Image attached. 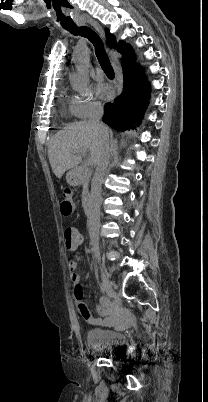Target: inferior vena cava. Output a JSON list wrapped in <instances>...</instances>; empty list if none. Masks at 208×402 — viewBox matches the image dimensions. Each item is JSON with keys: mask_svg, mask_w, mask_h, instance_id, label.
<instances>
[{"mask_svg": "<svg viewBox=\"0 0 208 402\" xmlns=\"http://www.w3.org/2000/svg\"><path fill=\"white\" fill-rule=\"evenodd\" d=\"M102 116L103 106H101V104H93L92 114L88 120V124H95L98 128H105L104 124H100L99 122ZM109 150V140H106L100 150V158L97 162V168L91 182L87 226L92 246H99L100 206L102 200L101 188L103 180L107 174Z\"/></svg>", "mask_w": 208, "mask_h": 402, "instance_id": "inferior-vena-cava-1", "label": "inferior vena cava"}]
</instances>
